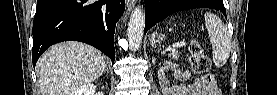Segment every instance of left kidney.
Returning <instances> with one entry per match:
<instances>
[{
    "mask_svg": "<svg viewBox=\"0 0 277 95\" xmlns=\"http://www.w3.org/2000/svg\"><path fill=\"white\" fill-rule=\"evenodd\" d=\"M166 70V67H162V68H160L159 69V71H158V79H159V83H160V85H161V87H162V89L164 90V91H166L167 90V92L169 91V92H173V91H171L170 89H169V80L167 79V77L165 76V71Z\"/></svg>",
    "mask_w": 277,
    "mask_h": 95,
    "instance_id": "1",
    "label": "left kidney"
}]
</instances>
